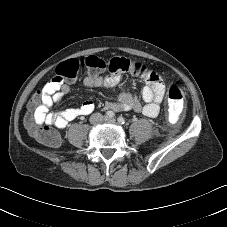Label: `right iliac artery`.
Masks as SVG:
<instances>
[{
    "instance_id": "obj_1",
    "label": "right iliac artery",
    "mask_w": 227,
    "mask_h": 227,
    "mask_svg": "<svg viewBox=\"0 0 227 227\" xmlns=\"http://www.w3.org/2000/svg\"><path fill=\"white\" fill-rule=\"evenodd\" d=\"M115 116V114L112 111H107L106 112V117L107 118H113Z\"/></svg>"
}]
</instances>
